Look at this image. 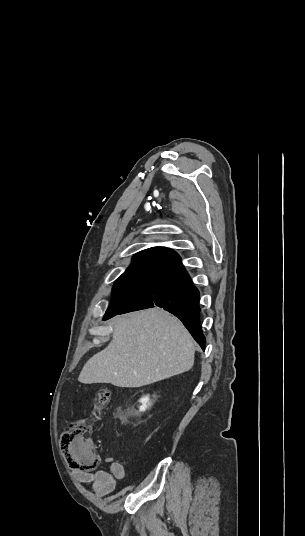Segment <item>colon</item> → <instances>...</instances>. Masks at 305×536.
<instances>
[{
	"label": "colon",
	"instance_id": "obj_1",
	"mask_svg": "<svg viewBox=\"0 0 305 536\" xmlns=\"http://www.w3.org/2000/svg\"><path fill=\"white\" fill-rule=\"evenodd\" d=\"M110 392L100 389L94 399V407L88 417L78 419L70 425L67 435L60 437V450L66 454L70 471H104L106 463L99 460V452L89 435L92 425L101 416V411L107 406Z\"/></svg>",
	"mask_w": 305,
	"mask_h": 536
}]
</instances>
